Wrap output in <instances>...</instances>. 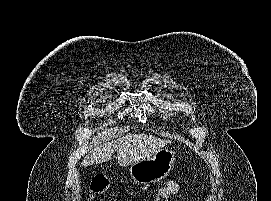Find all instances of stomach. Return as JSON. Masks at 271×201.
<instances>
[{
	"instance_id": "obj_1",
	"label": "stomach",
	"mask_w": 271,
	"mask_h": 201,
	"mask_svg": "<svg viewBox=\"0 0 271 201\" xmlns=\"http://www.w3.org/2000/svg\"><path fill=\"white\" fill-rule=\"evenodd\" d=\"M174 155V151L163 148L150 158L132 164V179L138 184L148 185L165 178L173 168Z\"/></svg>"
}]
</instances>
